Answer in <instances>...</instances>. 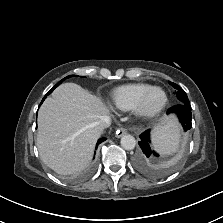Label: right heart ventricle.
I'll return each mask as SVG.
<instances>
[{
  "instance_id": "1",
  "label": "right heart ventricle",
  "mask_w": 223,
  "mask_h": 223,
  "mask_svg": "<svg viewBox=\"0 0 223 223\" xmlns=\"http://www.w3.org/2000/svg\"><path fill=\"white\" fill-rule=\"evenodd\" d=\"M152 85L142 82H134L120 85L114 88L110 94L111 105L120 111L133 110L142 94Z\"/></svg>"
}]
</instances>
